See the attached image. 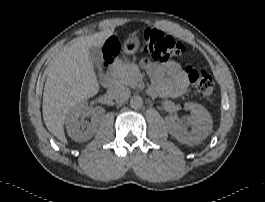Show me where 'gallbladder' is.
<instances>
[{"label": "gallbladder", "mask_w": 265, "mask_h": 202, "mask_svg": "<svg viewBox=\"0 0 265 202\" xmlns=\"http://www.w3.org/2000/svg\"><path fill=\"white\" fill-rule=\"evenodd\" d=\"M88 56L90 61L92 62L93 66L96 67L100 73H102V63H103V57H102V51L100 47L98 46H92L88 50Z\"/></svg>", "instance_id": "bac80fb5"}]
</instances>
